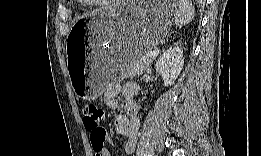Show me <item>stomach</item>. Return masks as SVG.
<instances>
[{
    "mask_svg": "<svg viewBox=\"0 0 261 156\" xmlns=\"http://www.w3.org/2000/svg\"><path fill=\"white\" fill-rule=\"evenodd\" d=\"M176 13L175 2H116L79 19L66 46L76 95L94 100L108 83L124 78L128 68L166 37ZM78 39H83L85 55L76 53Z\"/></svg>",
    "mask_w": 261,
    "mask_h": 156,
    "instance_id": "0dacf381",
    "label": "stomach"
}]
</instances>
